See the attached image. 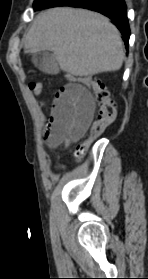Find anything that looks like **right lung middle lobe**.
Here are the masks:
<instances>
[{
  "instance_id": "right-lung-middle-lobe-1",
  "label": "right lung middle lobe",
  "mask_w": 148,
  "mask_h": 279,
  "mask_svg": "<svg viewBox=\"0 0 148 279\" xmlns=\"http://www.w3.org/2000/svg\"><path fill=\"white\" fill-rule=\"evenodd\" d=\"M49 0H35L34 9L41 10Z\"/></svg>"
}]
</instances>
